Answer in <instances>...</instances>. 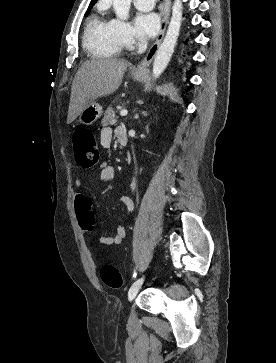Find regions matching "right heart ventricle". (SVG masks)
<instances>
[{
	"label": "right heart ventricle",
	"mask_w": 276,
	"mask_h": 363,
	"mask_svg": "<svg viewBox=\"0 0 276 363\" xmlns=\"http://www.w3.org/2000/svg\"><path fill=\"white\" fill-rule=\"evenodd\" d=\"M83 44L95 58H110L118 55L122 49L113 22L97 15H93L87 23Z\"/></svg>",
	"instance_id": "e07e8e85"
}]
</instances>
